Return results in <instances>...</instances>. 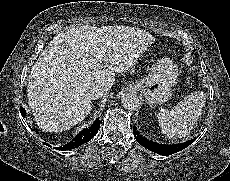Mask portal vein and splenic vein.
Here are the masks:
<instances>
[{"label": "portal vein and splenic vein", "mask_w": 230, "mask_h": 181, "mask_svg": "<svg viewBox=\"0 0 230 181\" xmlns=\"http://www.w3.org/2000/svg\"><path fill=\"white\" fill-rule=\"evenodd\" d=\"M102 54H103L102 52H99L97 57H98L99 59H101L102 56H103Z\"/></svg>", "instance_id": "18ae733b"}]
</instances>
